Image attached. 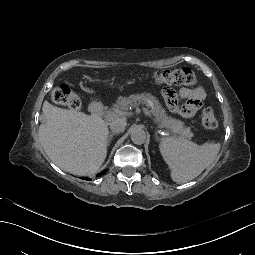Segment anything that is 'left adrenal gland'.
<instances>
[{"instance_id":"left-adrenal-gland-1","label":"left adrenal gland","mask_w":255,"mask_h":255,"mask_svg":"<svg viewBox=\"0 0 255 255\" xmlns=\"http://www.w3.org/2000/svg\"><path fill=\"white\" fill-rule=\"evenodd\" d=\"M155 136H156V139L159 140V137H158V134H157V133H155Z\"/></svg>"}]
</instances>
